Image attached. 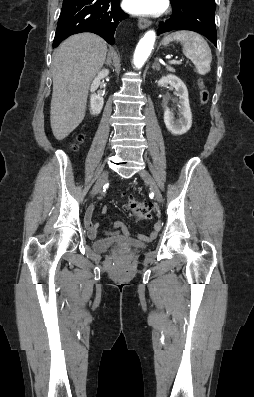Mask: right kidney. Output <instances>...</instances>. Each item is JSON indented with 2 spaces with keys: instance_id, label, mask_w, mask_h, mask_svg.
I'll return each instance as SVG.
<instances>
[{
  "instance_id": "ca27d5eb",
  "label": "right kidney",
  "mask_w": 254,
  "mask_h": 397,
  "mask_svg": "<svg viewBox=\"0 0 254 397\" xmlns=\"http://www.w3.org/2000/svg\"><path fill=\"white\" fill-rule=\"evenodd\" d=\"M108 75H109V70L102 69L91 84L90 91L92 94L90 96V111L92 115H98L103 108L104 99L102 96L96 94L95 91L100 85V80L107 77Z\"/></svg>"
}]
</instances>
